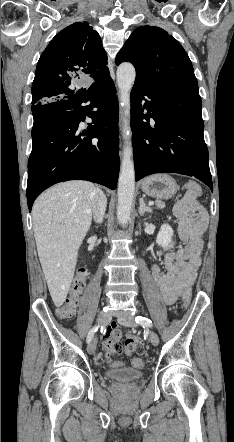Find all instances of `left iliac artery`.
<instances>
[{
  "mask_svg": "<svg viewBox=\"0 0 234 442\" xmlns=\"http://www.w3.org/2000/svg\"><path fill=\"white\" fill-rule=\"evenodd\" d=\"M136 323L141 324L143 327H152V321L146 317H142V316H137L135 318Z\"/></svg>",
  "mask_w": 234,
  "mask_h": 442,
  "instance_id": "obj_1",
  "label": "left iliac artery"
}]
</instances>
